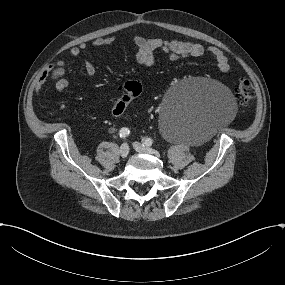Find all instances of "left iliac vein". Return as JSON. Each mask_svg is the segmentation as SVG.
Listing matches in <instances>:
<instances>
[{
  "label": "left iliac vein",
  "mask_w": 285,
  "mask_h": 285,
  "mask_svg": "<svg viewBox=\"0 0 285 285\" xmlns=\"http://www.w3.org/2000/svg\"><path fill=\"white\" fill-rule=\"evenodd\" d=\"M134 148L139 153L156 154V152L152 148L145 147L143 144H140V143H137V142L134 143Z\"/></svg>",
  "instance_id": "1"
}]
</instances>
